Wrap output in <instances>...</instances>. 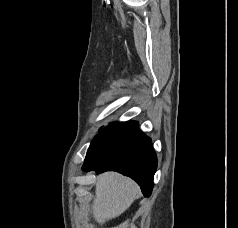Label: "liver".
<instances>
[{
  "mask_svg": "<svg viewBox=\"0 0 238 228\" xmlns=\"http://www.w3.org/2000/svg\"><path fill=\"white\" fill-rule=\"evenodd\" d=\"M139 186L130 178L116 172L100 175L95 185L92 214L98 223L120 216L134 202Z\"/></svg>",
  "mask_w": 238,
  "mask_h": 228,
  "instance_id": "obj_1",
  "label": "liver"
}]
</instances>
